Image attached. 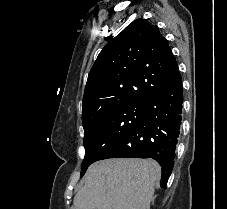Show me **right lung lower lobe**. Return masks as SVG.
Wrapping results in <instances>:
<instances>
[{
    "label": "right lung lower lobe",
    "mask_w": 227,
    "mask_h": 209,
    "mask_svg": "<svg viewBox=\"0 0 227 209\" xmlns=\"http://www.w3.org/2000/svg\"><path fill=\"white\" fill-rule=\"evenodd\" d=\"M159 72L170 83L144 102L140 121L102 159L153 158L162 167L160 186L166 189L180 133L183 89L178 64Z\"/></svg>",
    "instance_id": "right-lung-lower-lobe-1"
}]
</instances>
